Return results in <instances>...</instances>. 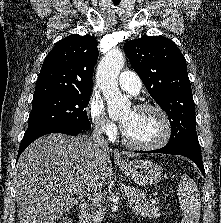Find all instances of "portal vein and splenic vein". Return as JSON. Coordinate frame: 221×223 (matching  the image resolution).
Returning a JSON list of instances; mask_svg holds the SVG:
<instances>
[{"label":"portal vein and splenic vein","instance_id":"1","mask_svg":"<svg viewBox=\"0 0 221 223\" xmlns=\"http://www.w3.org/2000/svg\"><path fill=\"white\" fill-rule=\"evenodd\" d=\"M122 193L126 194V193H127V191H126V190H124V191H122ZM89 198H90V194H89ZM93 201H94V202H96V201H97V198L93 199Z\"/></svg>","mask_w":221,"mask_h":223}]
</instances>
